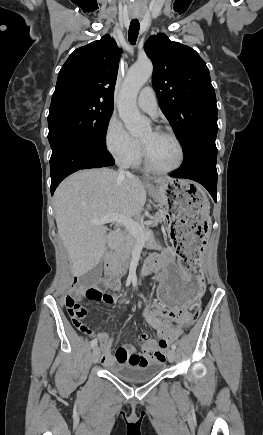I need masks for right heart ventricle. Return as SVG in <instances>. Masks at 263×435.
<instances>
[{
	"label": "right heart ventricle",
	"mask_w": 263,
	"mask_h": 435,
	"mask_svg": "<svg viewBox=\"0 0 263 435\" xmlns=\"http://www.w3.org/2000/svg\"><path fill=\"white\" fill-rule=\"evenodd\" d=\"M141 164V156L133 163L134 166H139Z\"/></svg>",
	"instance_id": "e07e8e85"
}]
</instances>
